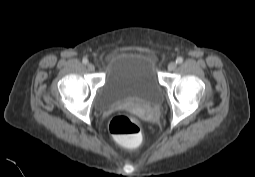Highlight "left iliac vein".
I'll use <instances>...</instances> for the list:
<instances>
[{
    "label": "left iliac vein",
    "mask_w": 255,
    "mask_h": 177,
    "mask_svg": "<svg viewBox=\"0 0 255 177\" xmlns=\"http://www.w3.org/2000/svg\"><path fill=\"white\" fill-rule=\"evenodd\" d=\"M176 67H177V64H176L175 62H171V63H169V65H168V70H169V71H173V70L176 69Z\"/></svg>",
    "instance_id": "obj_1"
}]
</instances>
